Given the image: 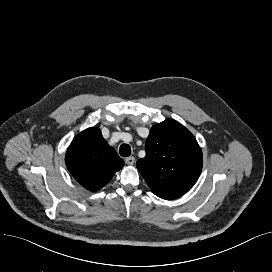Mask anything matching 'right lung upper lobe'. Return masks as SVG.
I'll use <instances>...</instances> for the list:
<instances>
[{
	"label": "right lung upper lobe",
	"mask_w": 272,
	"mask_h": 272,
	"mask_svg": "<svg viewBox=\"0 0 272 272\" xmlns=\"http://www.w3.org/2000/svg\"><path fill=\"white\" fill-rule=\"evenodd\" d=\"M65 162L72 176L86 189L96 192L124 166L114 148L104 140L99 128H88L70 144Z\"/></svg>",
	"instance_id": "cb5924a9"
}]
</instances>
